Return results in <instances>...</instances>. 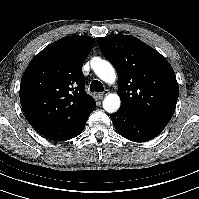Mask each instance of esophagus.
I'll return each instance as SVG.
<instances>
[{
	"mask_svg": "<svg viewBox=\"0 0 199 199\" xmlns=\"http://www.w3.org/2000/svg\"><path fill=\"white\" fill-rule=\"evenodd\" d=\"M108 94H109V90H105L102 93H99L98 95H99V98L102 99V98H104Z\"/></svg>",
	"mask_w": 199,
	"mask_h": 199,
	"instance_id": "obj_1",
	"label": "esophagus"
}]
</instances>
